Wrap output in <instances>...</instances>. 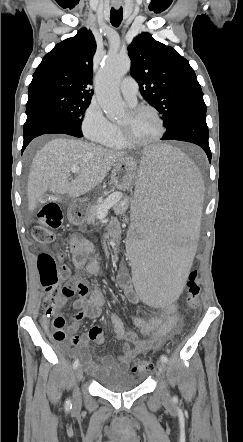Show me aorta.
Wrapping results in <instances>:
<instances>
[{
  "label": "aorta",
  "instance_id": "1",
  "mask_svg": "<svg viewBox=\"0 0 243 442\" xmlns=\"http://www.w3.org/2000/svg\"><path fill=\"white\" fill-rule=\"evenodd\" d=\"M130 65L127 56L108 55L96 76L97 101L110 119L119 117L125 110V103L119 92V82L130 70Z\"/></svg>",
  "mask_w": 243,
  "mask_h": 442
}]
</instances>
